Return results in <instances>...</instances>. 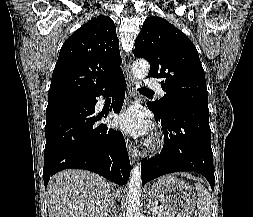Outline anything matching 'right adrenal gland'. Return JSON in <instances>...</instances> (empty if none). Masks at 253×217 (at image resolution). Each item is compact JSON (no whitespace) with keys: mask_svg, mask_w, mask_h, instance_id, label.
Here are the masks:
<instances>
[{"mask_svg":"<svg viewBox=\"0 0 253 217\" xmlns=\"http://www.w3.org/2000/svg\"><path fill=\"white\" fill-rule=\"evenodd\" d=\"M114 209H115V206L113 207V209H112V211H111V213H110L109 217H114V215H115V211H114Z\"/></svg>","mask_w":253,"mask_h":217,"instance_id":"1","label":"right adrenal gland"}]
</instances>
